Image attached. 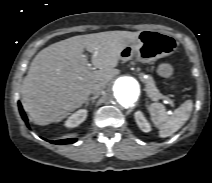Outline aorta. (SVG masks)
<instances>
[{"label": "aorta", "instance_id": "1", "mask_svg": "<svg viewBox=\"0 0 212 183\" xmlns=\"http://www.w3.org/2000/svg\"><path fill=\"white\" fill-rule=\"evenodd\" d=\"M141 88L139 82L130 76H122L116 79L113 85V99L123 108L133 106L139 99Z\"/></svg>", "mask_w": 212, "mask_h": 183}]
</instances>
